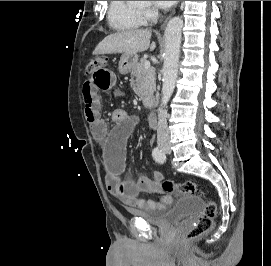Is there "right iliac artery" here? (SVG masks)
Here are the masks:
<instances>
[{"label":"right iliac artery","mask_w":271,"mask_h":266,"mask_svg":"<svg viewBox=\"0 0 271 266\" xmlns=\"http://www.w3.org/2000/svg\"><path fill=\"white\" fill-rule=\"evenodd\" d=\"M152 156L155 159V161H157L158 163H163L166 159V156L163 153V151L157 147L154 148V150L152 151Z\"/></svg>","instance_id":"right-iliac-artery-1"}]
</instances>
